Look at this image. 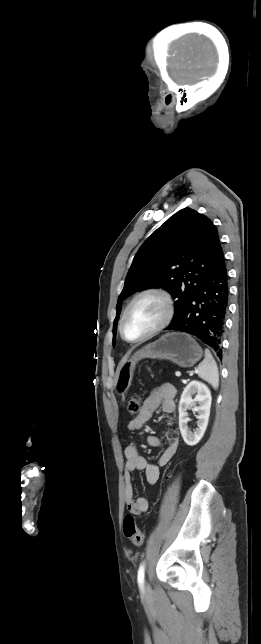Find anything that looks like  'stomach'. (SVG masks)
I'll use <instances>...</instances> for the list:
<instances>
[{"label": "stomach", "mask_w": 261, "mask_h": 644, "mask_svg": "<svg viewBox=\"0 0 261 644\" xmlns=\"http://www.w3.org/2000/svg\"><path fill=\"white\" fill-rule=\"evenodd\" d=\"M202 355L203 350L191 336L184 333H167L122 361L115 389L122 396L126 394L132 383L136 363L141 359L169 360L182 368H190Z\"/></svg>", "instance_id": "1"}]
</instances>
